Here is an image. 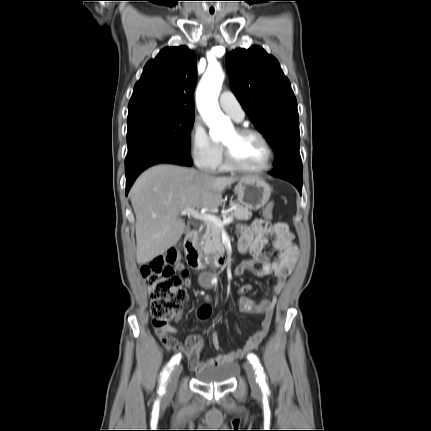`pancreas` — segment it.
I'll return each mask as SVG.
<instances>
[{
  "mask_svg": "<svg viewBox=\"0 0 431 431\" xmlns=\"http://www.w3.org/2000/svg\"><path fill=\"white\" fill-rule=\"evenodd\" d=\"M230 208H233V210L225 212L224 216L235 217L237 220H249L252 217V212L248 208L236 202H231ZM203 242V250L206 253H213L222 249L220 228L212 222L204 221Z\"/></svg>",
  "mask_w": 431,
  "mask_h": 431,
  "instance_id": "1",
  "label": "pancreas"
}]
</instances>
